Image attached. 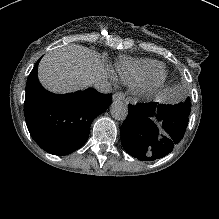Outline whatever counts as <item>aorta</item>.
Masks as SVG:
<instances>
[{
  "label": "aorta",
  "instance_id": "1",
  "mask_svg": "<svg viewBox=\"0 0 219 219\" xmlns=\"http://www.w3.org/2000/svg\"><path fill=\"white\" fill-rule=\"evenodd\" d=\"M110 114L115 120H125L128 116V107L123 101H114L110 106Z\"/></svg>",
  "mask_w": 219,
  "mask_h": 219
}]
</instances>
